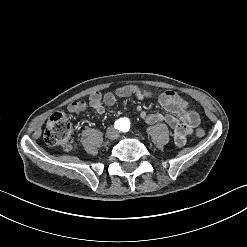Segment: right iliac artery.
Segmentation results:
<instances>
[{"instance_id": "right-iliac-artery-1", "label": "right iliac artery", "mask_w": 247, "mask_h": 247, "mask_svg": "<svg viewBox=\"0 0 247 247\" xmlns=\"http://www.w3.org/2000/svg\"><path fill=\"white\" fill-rule=\"evenodd\" d=\"M117 123H118V121L115 122V128H116V126H117Z\"/></svg>"}]
</instances>
